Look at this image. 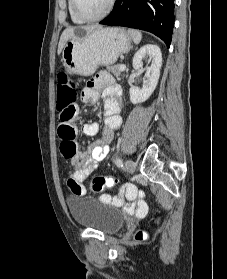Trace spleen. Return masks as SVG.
Listing matches in <instances>:
<instances>
[{
  "mask_svg": "<svg viewBox=\"0 0 227 279\" xmlns=\"http://www.w3.org/2000/svg\"><path fill=\"white\" fill-rule=\"evenodd\" d=\"M129 35L131 36L133 42L135 44H139L141 39H142V34L140 31L138 30H134V29H129L128 30Z\"/></svg>",
  "mask_w": 227,
  "mask_h": 279,
  "instance_id": "1",
  "label": "spleen"
}]
</instances>
